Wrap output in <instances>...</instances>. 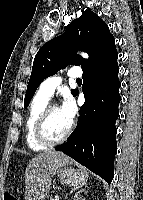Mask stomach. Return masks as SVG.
<instances>
[{"mask_svg":"<svg viewBox=\"0 0 143 200\" xmlns=\"http://www.w3.org/2000/svg\"><path fill=\"white\" fill-rule=\"evenodd\" d=\"M61 183L68 186L78 187L88 179V172L85 169H74L64 166L58 172Z\"/></svg>","mask_w":143,"mask_h":200,"instance_id":"stomach-1","label":"stomach"}]
</instances>
